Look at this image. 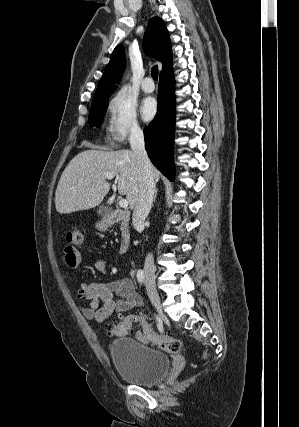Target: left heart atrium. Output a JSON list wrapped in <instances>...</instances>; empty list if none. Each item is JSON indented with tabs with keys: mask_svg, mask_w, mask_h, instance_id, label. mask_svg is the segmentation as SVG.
I'll return each mask as SVG.
<instances>
[{
	"mask_svg": "<svg viewBox=\"0 0 299 427\" xmlns=\"http://www.w3.org/2000/svg\"><path fill=\"white\" fill-rule=\"evenodd\" d=\"M156 110H157V105H156V101L153 98L148 97L142 101L140 106V112H141L142 118L145 121L151 120L155 116Z\"/></svg>",
	"mask_w": 299,
	"mask_h": 427,
	"instance_id": "obj_1",
	"label": "left heart atrium"
}]
</instances>
